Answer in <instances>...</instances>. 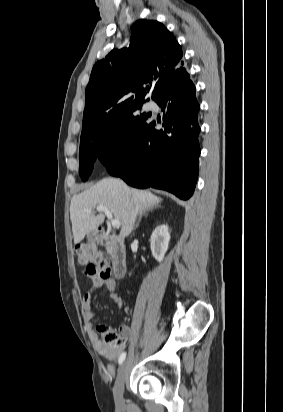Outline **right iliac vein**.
Segmentation results:
<instances>
[{
	"label": "right iliac vein",
	"instance_id": "63e3f726",
	"mask_svg": "<svg viewBox=\"0 0 283 412\" xmlns=\"http://www.w3.org/2000/svg\"><path fill=\"white\" fill-rule=\"evenodd\" d=\"M127 371H128V362L125 361L121 365L118 371V375H117L114 389H113L114 401H115L116 406L119 409H122L124 406L123 393H124V382H125Z\"/></svg>",
	"mask_w": 283,
	"mask_h": 412
}]
</instances>
